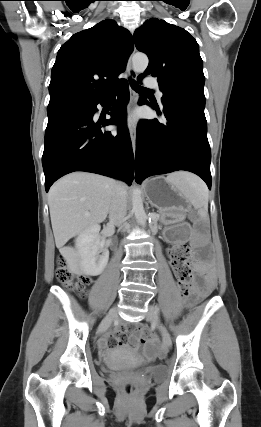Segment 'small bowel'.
Returning <instances> with one entry per match:
<instances>
[{
    "mask_svg": "<svg viewBox=\"0 0 261 427\" xmlns=\"http://www.w3.org/2000/svg\"><path fill=\"white\" fill-rule=\"evenodd\" d=\"M209 284L207 285H196L193 289V295L194 298H192L191 302H194L196 300V298L200 295L205 293L208 290ZM132 329L133 330H138L139 329V324L138 323H133L132 324ZM124 328H120L119 330L116 331V334H111L109 335L105 342H101V346L104 347H108V348H114L120 344H122L123 342V336H124ZM130 344L132 347L136 348L138 346V340L137 337L135 335H132L130 337ZM157 350V344H156V340H152L150 341V343L147 345L146 347V353L148 355H154L155 352Z\"/></svg>",
    "mask_w": 261,
    "mask_h": 427,
    "instance_id": "obj_1",
    "label": "small bowel"
}]
</instances>
